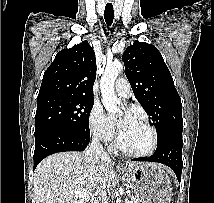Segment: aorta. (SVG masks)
<instances>
[{
  "instance_id": "1",
  "label": "aorta",
  "mask_w": 214,
  "mask_h": 203,
  "mask_svg": "<svg viewBox=\"0 0 214 203\" xmlns=\"http://www.w3.org/2000/svg\"><path fill=\"white\" fill-rule=\"evenodd\" d=\"M123 71V64L114 61L107 64L105 71L100 79V89L102 101L108 112L121 115L122 112L118 107V99L114 92V84L119 73Z\"/></svg>"
}]
</instances>
